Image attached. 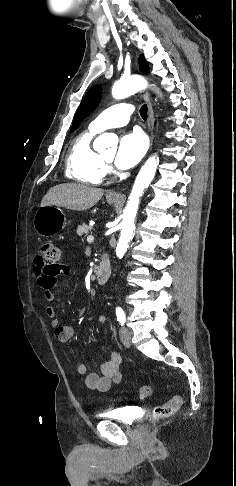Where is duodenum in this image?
Instances as JSON below:
<instances>
[{"mask_svg": "<svg viewBox=\"0 0 236 486\" xmlns=\"http://www.w3.org/2000/svg\"><path fill=\"white\" fill-rule=\"evenodd\" d=\"M111 275V264L109 258L104 255L96 268V279L99 284H105Z\"/></svg>", "mask_w": 236, "mask_h": 486, "instance_id": "duodenum-1", "label": "duodenum"}]
</instances>
